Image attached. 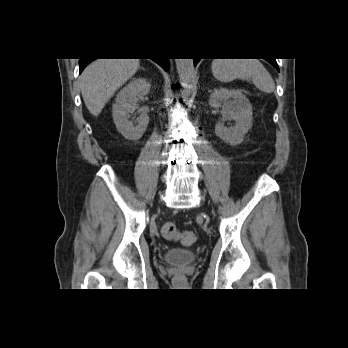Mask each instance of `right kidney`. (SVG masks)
Masks as SVG:
<instances>
[{
	"label": "right kidney",
	"instance_id": "1",
	"mask_svg": "<svg viewBox=\"0 0 348 348\" xmlns=\"http://www.w3.org/2000/svg\"><path fill=\"white\" fill-rule=\"evenodd\" d=\"M151 85L144 78L133 79L116 96L112 116L117 130L128 140H139L147 129L149 116L140 112L134 125L130 113L137 108L138 98L150 92Z\"/></svg>",
	"mask_w": 348,
	"mask_h": 348
}]
</instances>
